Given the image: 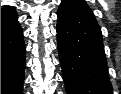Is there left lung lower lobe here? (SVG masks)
<instances>
[{"label":"left lung lower lobe","mask_w":121,"mask_h":94,"mask_svg":"<svg viewBox=\"0 0 121 94\" xmlns=\"http://www.w3.org/2000/svg\"><path fill=\"white\" fill-rule=\"evenodd\" d=\"M57 45L67 94H113L102 33L95 18L60 4Z\"/></svg>","instance_id":"obj_1"}]
</instances>
